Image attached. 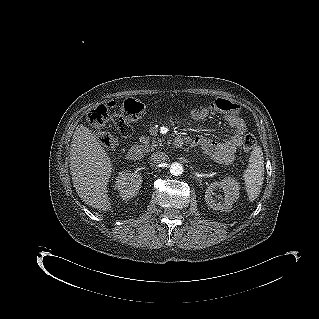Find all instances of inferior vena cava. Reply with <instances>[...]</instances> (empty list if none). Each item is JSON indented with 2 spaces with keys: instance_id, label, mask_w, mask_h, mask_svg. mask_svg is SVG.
<instances>
[{
  "instance_id": "inferior-vena-cava-1",
  "label": "inferior vena cava",
  "mask_w": 319,
  "mask_h": 319,
  "mask_svg": "<svg viewBox=\"0 0 319 319\" xmlns=\"http://www.w3.org/2000/svg\"><path fill=\"white\" fill-rule=\"evenodd\" d=\"M167 159H168V155L161 151L154 152L151 155V161H153L156 164L165 162L167 161Z\"/></svg>"
}]
</instances>
